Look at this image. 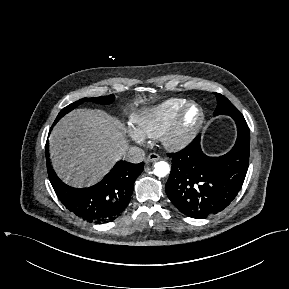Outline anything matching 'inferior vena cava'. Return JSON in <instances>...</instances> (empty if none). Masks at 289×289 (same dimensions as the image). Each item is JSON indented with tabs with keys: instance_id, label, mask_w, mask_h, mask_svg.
<instances>
[{
	"instance_id": "inferior-vena-cava-1",
	"label": "inferior vena cava",
	"mask_w": 289,
	"mask_h": 289,
	"mask_svg": "<svg viewBox=\"0 0 289 289\" xmlns=\"http://www.w3.org/2000/svg\"><path fill=\"white\" fill-rule=\"evenodd\" d=\"M126 161L130 163H140L145 158V152L143 149L138 147H130L124 154Z\"/></svg>"
}]
</instances>
